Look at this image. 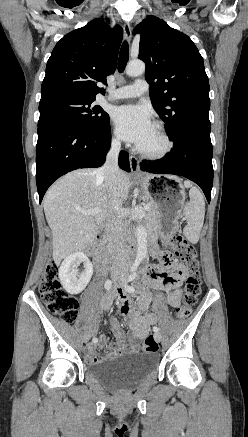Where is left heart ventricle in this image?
Masks as SVG:
<instances>
[{"mask_svg":"<svg viewBox=\"0 0 248 437\" xmlns=\"http://www.w3.org/2000/svg\"><path fill=\"white\" fill-rule=\"evenodd\" d=\"M138 146L146 151L156 152L163 148L164 143L157 129L153 126L148 136Z\"/></svg>","mask_w":248,"mask_h":437,"instance_id":"left-heart-ventricle-1","label":"left heart ventricle"}]
</instances>
